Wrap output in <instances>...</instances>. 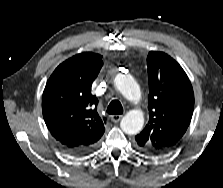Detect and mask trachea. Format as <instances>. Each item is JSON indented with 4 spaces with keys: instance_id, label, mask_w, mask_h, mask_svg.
I'll use <instances>...</instances> for the list:
<instances>
[{
    "instance_id": "obj_1",
    "label": "trachea",
    "mask_w": 223,
    "mask_h": 188,
    "mask_svg": "<svg viewBox=\"0 0 223 188\" xmlns=\"http://www.w3.org/2000/svg\"><path fill=\"white\" fill-rule=\"evenodd\" d=\"M107 113L112 115H119L123 113L122 104L118 100H112L107 107Z\"/></svg>"
}]
</instances>
